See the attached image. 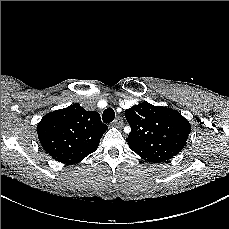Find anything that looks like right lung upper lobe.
Returning a JSON list of instances; mask_svg holds the SVG:
<instances>
[{
    "mask_svg": "<svg viewBox=\"0 0 229 229\" xmlns=\"http://www.w3.org/2000/svg\"><path fill=\"white\" fill-rule=\"evenodd\" d=\"M108 129L98 112L78 103L46 114L37 125L43 149L55 160L74 164L96 151Z\"/></svg>",
    "mask_w": 229,
    "mask_h": 229,
    "instance_id": "1",
    "label": "right lung upper lobe"
}]
</instances>
